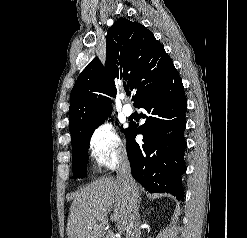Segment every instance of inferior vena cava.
Returning a JSON list of instances; mask_svg holds the SVG:
<instances>
[{
    "label": "inferior vena cava",
    "instance_id": "1",
    "mask_svg": "<svg viewBox=\"0 0 247 238\" xmlns=\"http://www.w3.org/2000/svg\"><path fill=\"white\" fill-rule=\"evenodd\" d=\"M116 172L117 180L123 185L130 198V214L126 227V238H140L139 197L136 190V183L131 175L130 163L125 152H122L119 156Z\"/></svg>",
    "mask_w": 247,
    "mask_h": 238
}]
</instances>
